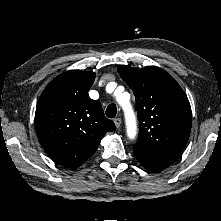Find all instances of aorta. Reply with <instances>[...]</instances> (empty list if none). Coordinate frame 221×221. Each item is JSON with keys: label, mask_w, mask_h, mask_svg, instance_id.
I'll return each instance as SVG.
<instances>
[{"label": "aorta", "mask_w": 221, "mask_h": 221, "mask_svg": "<svg viewBox=\"0 0 221 221\" xmlns=\"http://www.w3.org/2000/svg\"><path fill=\"white\" fill-rule=\"evenodd\" d=\"M137 134V128L134 123H130L127 128V135L130 139H134Z\"/></svg>", "instance_id": "obj_1"}]
</instances>
